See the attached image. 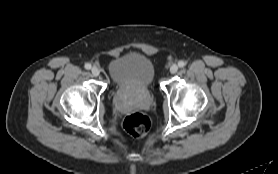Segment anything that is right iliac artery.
I'll list each match as a JSON object with an SVG mask.
<instances>
[{"mask_svg":"<svg viewBox=\"0 0 278 174\" xmlns=\"http://www.w3.org/2000/svg\"><path fill=\"white\" fill-rule=\"evenodd\" d=\"M85 69H87V70L91 69V64L90 63H86L85 64Z\"/></svg>","mask_w":278,"mask_h":174,"instance_id":"1","label":"right iliac artery"}]
</instances>
